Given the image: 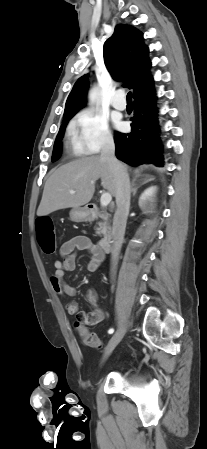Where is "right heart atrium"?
<instances>
[{"label": "right heart atrium", "mask_w": 207, "mask_h": 449, "mask_svg": "<svg viewBox=\"0 0 207 449\" xmlns=\"http://www.w3.org/2000/svg\"><path fill=\"white\" fill-rule=\"evenodd\" d=\"M72 128L81 148L88 154L98 153L114 141L106 118L90 109L76 115Z\"/></svg>", "instance_id": "right-heart-atrium-1"}]
</instances>
